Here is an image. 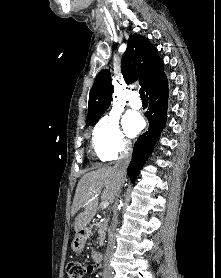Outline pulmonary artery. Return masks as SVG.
Returning a JSON list of instances; mask_svg holds the SVG:
<instances>
[{
    "label": "pulmonary artery",
    "mask_w": 221,
    "mask_h": 278,
    "mask_svg": "<svg viewBox=\"0 0 221 278\" xmlns=\"http://www.w3.org/2000/svg\"><path fill=\"white\" fill-rule=\"evenodd\" d=\"M128 104L133 109H140L142 107V102L139 99L137 92H132L129 95Z\"/></svg>",
    "instance_id": "obj_1"
}]
</instances>
